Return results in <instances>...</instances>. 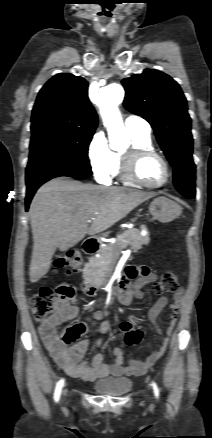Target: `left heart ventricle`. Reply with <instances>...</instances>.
Wrapping results in <instances>:
<instances>
[{
    "label": "left heart ventricle",
    "instance_id": "b2bd125f",
    "mask_svg": "<svg viewBox=\"0 0 212 438\" xmlns=\"http://www.w3.org/2000/svg\"><path fill=\"white\" fill-rule=\"evenodd\" d=\"M138 177L151 184H159L165 179V170L161 161L153 156L143 158L137 166Z\"/></svg>",
    "mask_w": 212,
    "mask_h": 438
}]
</instances>
